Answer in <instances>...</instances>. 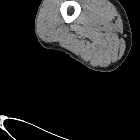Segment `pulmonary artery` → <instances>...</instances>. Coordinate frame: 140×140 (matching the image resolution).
<instances>
[{"mask_svg": "<svg viewBox=\"0 0 140 140\" xmlns=\"http://www.w3.org/2000/svg\"><path fill=\"white\" fill-rule=\"evenodd\" d=\"M55 39L64 47L73 49L74 51L83 54L85 46L75 39L66 29L60 28L55 31Z\"/></svg>", "mask_w": 140, "mask_h": 140, "instance_id": "e3ab8cb5", "label": "pulmonary artery"}]
</instances>
